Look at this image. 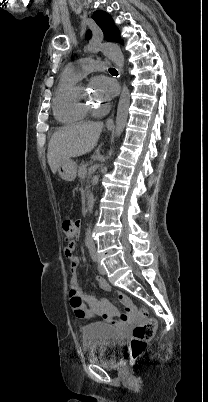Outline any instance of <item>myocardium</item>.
I'll use <instances>...</instances> for the list:
<instances>
[{
  "label": "myocardium",
  "mask_w": 208,
  "mask_h": 402,
  "mask_svg": "<svg viewBox=\"0 0 208 402\" xmlns=\"http://www.w3.org/2000/svg\"><path fill=\"white\" fill-rule=\"evenodd\" d=\"M85 97L83 86L78 87L75 93V101L77 106L85 112L95 109L93 100L86 101Z\"/></svg>",
  "instance_id": "f54148a6"
}]
</instances>
